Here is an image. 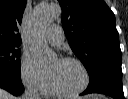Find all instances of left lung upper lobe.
<instances>
[{
  "mask_svg": "<svg viewBox=\"0 0 128 99\" xmlns=\"http://www.w3.org/2000/svg\"><path fill=\"white\" fill-rule=\"evenodd\" d=\"M69 45L90 73L98 63H121L114 13L104 0H58Z\"/></svg>",
  "mask_w": 128,
  "mask_h": 99,
  "instance_id": "left-lung-upper-lobe-1",
  "label": "left lung upper lobe"
}]
</instances>
